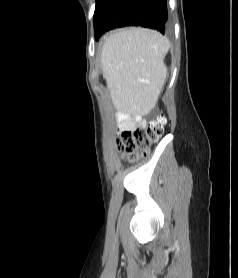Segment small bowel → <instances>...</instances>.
Segmentation results:
<instances>
[{"mask_svg":"<svg viewBox=\"0 0 238 278\" xmlns=\"http://www.w3.org/2000/svg\"><path fill=\"white\" fill-rule=\"evenodd\" d=\"M118 129L123 131L133 130L137 126L144 127L146 121L137 113L129 114L126 112H120L117 114Z\"/></svg>","mask_w":238,"mask_h":278,"instance_id":"obj_1","label":"small bowel"}]
</instances>
